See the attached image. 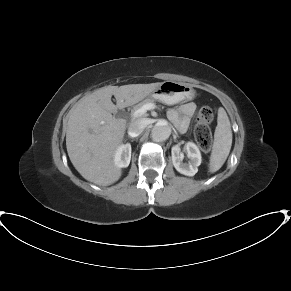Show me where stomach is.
<instances>
[{"label":"stomach","instance_id":"1","mask_svg":"<svg viewBox=\"0 0 291 291\" xmlns=\"http://www.w3.org/2000/svg\"><path fill=\"white\" fill-rule=\"evenodd\" d=\"M194 89L183 83L165 81L152 92V97L164 101L166 104H175L194 95Z\"/></svg>","mask_w":291,"mask_h":291}]
</instances>
